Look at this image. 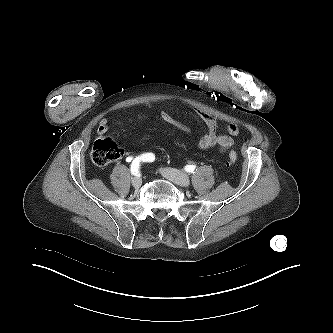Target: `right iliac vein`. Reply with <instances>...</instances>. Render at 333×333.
Masks as SVG:
<instances>
[{
	"label": "right iliac vein",
	"mask_w": 333,
	"mask_h": 333,
	"mask_svg": "<svg viewBox=\"0 0 333 333\" xmlns=\"http://www.w3.org/2000/svg\"><path fill=\"white\" fill-rule=\"evenodd\" d=\"M132 185L135 187V188H139L141 185H142V178L140 176H135L133 179H132Z\"/></svg>",
	"instance_id": "1"
}]
</instances>
